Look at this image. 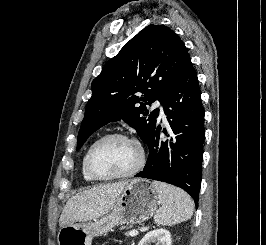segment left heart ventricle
<instances>
[{
	"instance_id": "left-heart-ventricle-1",
	"label": "left heart ventricle",
	"mask_w": 266,
	"mask_h": 245,
	"mask_svg": "<svg viewBox=\"0 0 266 245\" xmlns=\"http://www.w3.org/2000/svg\"><path fill=\"white\" fill-rule=\"evenodd\" d=\"M139 157L132 142L113 138L102 143L94 152L92 166L101 176L110 177L129 172Z\"/></svg>"
}]
</instances>
